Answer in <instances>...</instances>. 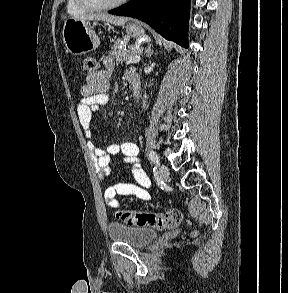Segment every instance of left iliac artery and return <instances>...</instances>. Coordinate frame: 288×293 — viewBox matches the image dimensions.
<instances>
[{"mask_svg":"<svg viewBox=\"0 0 288 293\" xmlns=\"http://www.w3.org/2000/svg\"><path fill=\"white\" fill-rule=\"evenodd\" d=\"M149 158L154 164L159 165V157L154 151H150Z\"/></svg>","mask_w":288,"mask_h":293,"instance_id":"obj_1","label":"left iliac artery"}]
</instances>
